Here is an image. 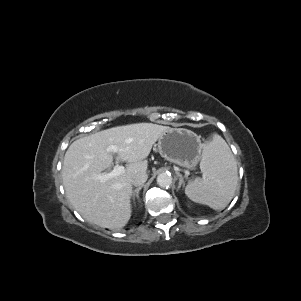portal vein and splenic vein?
<instances>
[{
  "mask_svg": "<svg viewBox=\"0 0 301 301\" xmlns=\"http://www.w3.org/2000/svg\"><path fill=\"white\" fill-rule=\"evenodd\" d=\"M107 151L117 153V152L120 151V149L118 147L114 146V145H110V146L107 147ZM123 172H124V167L120 166V165H116L111 172L103 173L98 178L100 180L105 181V180L111 179L115 176H118V175L122 174Z\"/></svg>",
  "mask_w": 301,
  "mask_h": 301,
  "instance_id": "portal-vein-and-splenic-vein-1",
  "label": "portal vein and splenic vein"
}]
</instances>
